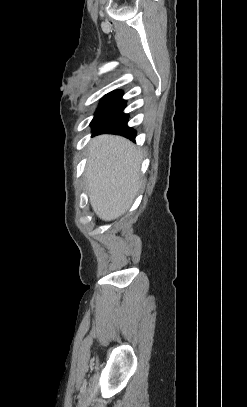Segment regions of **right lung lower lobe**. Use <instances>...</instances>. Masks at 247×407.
Masks as SVG:
<instances>
[{
	"instance_id": "1",
	"label": "right lung lower lobe",
	"mask_w": 247,
	"mask_h": 407,
	"mask_svg": "<svg viewBox=\"0 0 247 407\" xmlns=\"http://www.w3.org/2000/svg\"><path fill=\"white\" fill-rule=\"evenodd\" d=\"M125 105L103 120L94 130L93 136L103 133L118 134L134 140L136 131L127 126L128 114L123 113Z\"/></svg>"
}]
</instances>
